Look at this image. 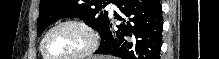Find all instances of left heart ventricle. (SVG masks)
Masks as SVG:
<instances>
[{
    "mask_svg": "<svg viewBox=\"0 0 219 59\" xmlns=\"http://www.w3.org/2000/svg\"><path fill=\"white\" fill-rule=\"evenodd\" d=\"M88 37L79 27L62 26L54 30L47 38L45 47L54 57H68L86 48Z\"/></svg>",
    "mask_w": 219,
    "mask_h": 59,
    "instance_id": "left-heart-ventricle-1",
    "label": "left heart ventricle"
}]
</instances>
